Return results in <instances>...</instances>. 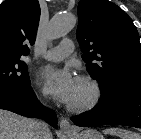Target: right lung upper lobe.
<instances>
[{
    "label": "right lung upper lobe",
    "mask_w": 141,
    "mask_h": 139,
    "mask_svg": "<svg viewBox=\"0 0 141 139\" xmlns=\"http://www.w3.org/2000/svg\"><path fill=\"white\" fill-rule=\"evenodd\" d=\"M40 18L38 0H6L0 4V57L29 54Z\"/></svg>",
    "instance_id": "right-lung-upper-lobe-1"
}]
</instances>
